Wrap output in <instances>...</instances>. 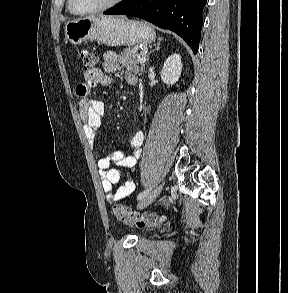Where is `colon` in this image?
I'll use <instances>...</instances> for the list:
<instances>
[{
  "label": "colon",
  "mask_w": 288,
  "mask_h": 293,
  "mask_svg": "<svg viewBox=\"0 0 288 293\" xmlns=\"http://www.w3.org/2000/svg\"><path fill=\"white\" fill-rule=\"evenodd\" d=\"M80 57L85 73L96 69L98 56L93 51L83 49L80 52ZM112 214L117 220L133 223L138 227L155 226L161 222V218L154 214L134 215L130 208L122 204L113 205Z\"/></svg>",
  "instance_id": "obj_1"
}]
</instances>
